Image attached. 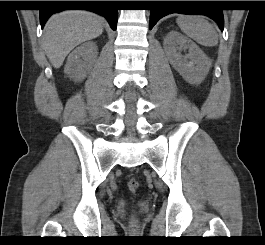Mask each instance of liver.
<instances>
[{
    "label": "liver",
    "mask_w": 265,
    "mask_h": 245,
    "mask_svg": "<svg viewBox=\"0 0 265 245\" xmlns=\"http://www.w3.org/2000/svg\"><path fill=\"white\" fill-rule=\"evenodd\" d=\"M104 20L92 12L65 11L54 14L45 25L44 49L54 68L79 44L100 36Z\"/></svg>",
    "instance_id": "6515ba94"
}]
</instances>
